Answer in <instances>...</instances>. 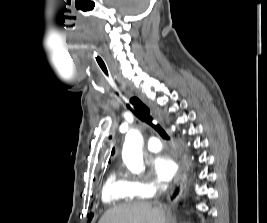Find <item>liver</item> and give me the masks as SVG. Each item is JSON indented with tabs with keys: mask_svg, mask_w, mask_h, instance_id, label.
I'll return each mask as SVG.
<instances>
[{
	"mask_svg": "<svg viewBox=\"0 0 267 223\" xmlns=\"http://www.w3.org/2000/svg\"><path fill=\"white\" fill-rule=\"evenodd\" d=\"M165 217V208L162 206L133 202L107 210L98 223H165Z\"/></svg>",
	"mask_w": 267,
	"mask_h": 223,
	"instance_id": "1",
	"label": "liver"
}]
</instances>
